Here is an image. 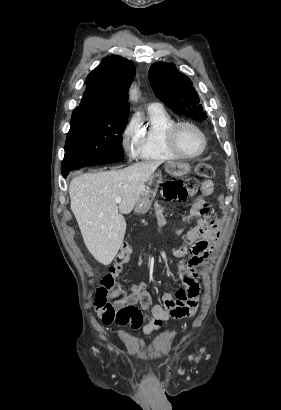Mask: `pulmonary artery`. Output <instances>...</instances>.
Segmentation results:
<instances>
[{"mask_svg":"<svg viewBox=\"0 0 281 410\" xmlns=\"http://www.w3.org/2000/svg\"><path fill=\"white\" fill-rule=\"evenodd\" d=\"M154 106H160V104H159V103H151V104L149 105V107H154Z\"/></svg>","mask_w":281,"mask_h":410,"instance_id":"1","label":"pulmonary artery"}]
</instances>
